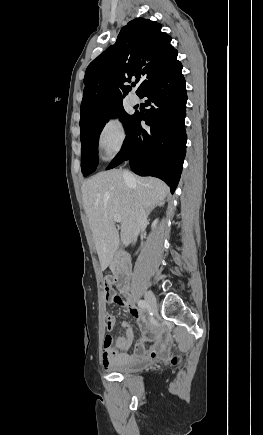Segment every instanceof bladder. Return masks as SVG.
I'll return each instance as SVG.
<instances>
[{"label": "bladder", "mask_w": 263, "mask_h": 435, "mask_svg": "<svg viewBox=\"0 0 263 435\" xmlns=\"http://www.w3.org/2000/svg\"><path fill=\"white\" fill-rule=\"evenodd\" d=\"M150 363H151L150 360H140V361L116 366L113 370L119 373H132L144 369Z\"/></svg>", "instance_id": "1"}]
</instances>
